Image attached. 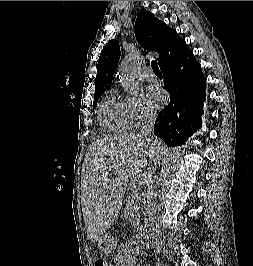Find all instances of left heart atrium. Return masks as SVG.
<instances>
[{"mask_svg":"<svg viewBox=\"0 0 253 266\" xmlns=\"http://www.w3.org/2000/svg\"><path fill=\"white\" fill-rule=\"evenodd\" d=\"M147 98L154 108L161 107L166 100L164 92L158 87L153 86L147 88Z\"/></svg>","mask_w":253,"mask_h":266,"instance_id":"left-heart-atrium-1","label":"left heart atrium"}]
</instances>
